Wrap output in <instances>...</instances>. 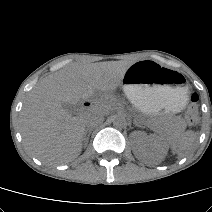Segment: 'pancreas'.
<instances>
[{"mask_svg":"<svg viewBox=\"0 0 212 212\" xmlns=\"http://www.w3.org/2000/svg\"><path fill=\"white\" fill-rule=\"evenodd\" d=\"M107 99H109V102L113 105H115V99L114 98H111V97H108Z\"/></svg>","mask_w":212,"mask_h":212,"instance_id":"pancreas-1","label":"pancreas"}]
</instances>
